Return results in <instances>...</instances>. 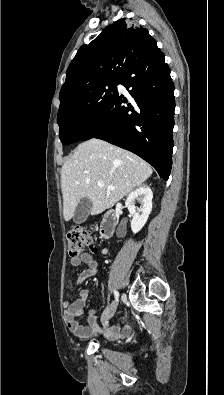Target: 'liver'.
Listing matches in <instances>:
<instances>
[{"label": "liver", "instance_id": "obj_1", "mask_svg": "<svg viewBox=\"0 0 224 395\" xmlns=\"http://www.w3.org/2000/svg\"><path fill=\"white\" fill-rule=\"evenodd\" d=\"M153 173L137 155L100 140L91 139L77 146L61 170L63 215L69 221L81 199L92 202V215L112 208ZM103 182L99 187L97 182ZM108 186L115 190H108Z\"/></svg>", "mask_w": 224, "mask_h": 395}]
</instances>
